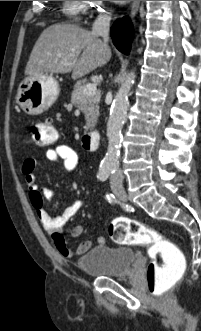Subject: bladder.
Listing matches in <instances>:
<instances>
[{
	"label": "bladder",
	"instance_id": "bladder-1",
	"mask_svg": "<svg viewBox=\"0 0 201 331\" xmlns=\"http://www.w3.org/2000/svg\"><path fill=\"white\" fill-rule=\"evenodd\" d=\"M135 259L130 248L100 244L92 247L77 260L80 270L95 278L125 277Z\"/></svg>",
	"mask_w": 201,
	"mask_h": 331
}]
</instances>
